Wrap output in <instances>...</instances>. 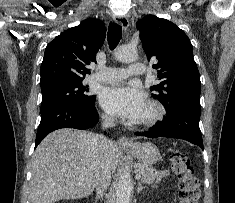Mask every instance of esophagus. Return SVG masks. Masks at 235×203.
I'll return each instance as SVG.
<instances>
[{
	"label": "esophagus",
	"mask_w": 235,
	"mask_h": 203,
	"mask_svg": "<svg viewBox=\"0 0 235 203\" xmlns=\"http://www.w3.org/2000/svg\"><path fill=\"white\" fill-rule=\"evenodd\" d=\"M114 21L116 24L122 26L123 30H127L128 26H129V21L128 18L126 16H114ZM118 144L120 146H131L132 145V141L130 139H128L125 136H121L118 138Z\"/></svg>",
	"instance_id": "34e87169"
}]
</instances>
